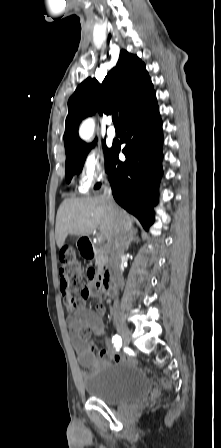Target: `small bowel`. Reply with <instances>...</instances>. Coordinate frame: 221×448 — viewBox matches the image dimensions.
Returning <instances> with one entry per match:
<instances>
[{
    "label": "small bowel",
    "instance_id": "c3829d8e",
    "mask_svg": "<svg viewBox=\"0 0 221 448\" xmlns=\"http://www.w3.org/2000/svg\"><path fill=\"white\" fill-rule=\"evenodd\" d=\"M95 295L104 298L99 280L92 281L84 290V295L76 302L66 299L65 307L68 312L66 319L69 329V339L77 351L78 360L85 372L90 373L97 370L104 362H125V357L117 354L109 346L96 351L88 342L90 333L96 335L104 334V323L102 317L106 313V306L98 304L96 310L86 306L88 297Z\"/></svg>",
    "mask_w": 221,
    "mask_h": 448
}]
</instances>
